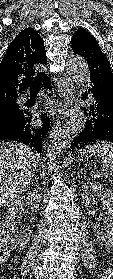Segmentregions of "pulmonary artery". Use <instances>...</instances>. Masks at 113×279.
<instances>
[{
  "label": "pulmonary artery",
  "instance_id": "obj_1",
  "mask_svg": "<svg viewBox=\"0 0 113 279\" xmlns=\"http://www.w3.org/2000/svg\"><path fill=\"white\" fill-rule=\"evenodd\" d=\"M21 100H22V102H25L27 100V96H22Z\"/></svg>",
  "mask_w": 113,
  "mask_h": 279
}]
</instances>
